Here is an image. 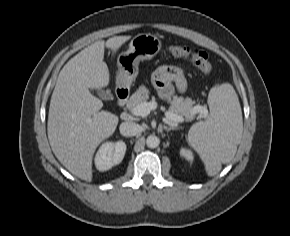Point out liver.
<instances>
[{
  "label": "liver",
  "mask_w": 290,
  "mask_h": 236,
  "mask_svg": "<svg viewBox=\"0 0 290 236\" xmlns=\"http://www.w3.org/2000/svg\"><path fill=\"white\" fill-rule=\"evenodd\" d=\"M130 38L115 36L83 49L64 65L51 96L47 134L52 151L67 170L87 182L92 180L96 148L119 122L115 114L100 111L103 103L89 89L109 84L105 47L114 53Z\"/></svg>",
  "instance_id": "6515ba94"
}]
</instances>
